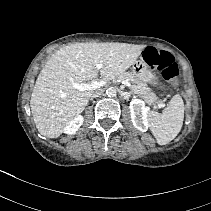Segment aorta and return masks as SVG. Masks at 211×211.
Segmentation results:
<instances>
[{
    "label": "aorta",
    "mask_w": 211,
    "mask_h": 211,
    "mask_svg": "<svg viewBox=\"0 0 211 211\" xmlns=\"http://www.w3.org/2000/svg\"><path fill=\"white\" fill-rule=\"evenodd\" d=\"M106 94L108 97H115L116 94H117V91L114 87H109L107 90H106Z\"/></svg>",
    "instance_id": "aorta-1"
}]
</instances>
